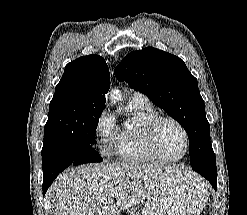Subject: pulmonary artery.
<instances>
[{
  "label": "pulmonary artery",
  "mask_w": 247,
  "mask_h": 215,
  "mask_svg": "<svg viewBox=\"0 0 247 215\" xmlns=\"http://www.w3.org/2000/svg\"><path fill=\"white\" fill-rule=\"evenodd\" d=\"M129 102L138 104V105H142V106H148L150 105L149 99L147 96H145L144 94L140 93V92H133Z\"/></svg>",
  "instance_id": "obj_1"
}]
</instances>
